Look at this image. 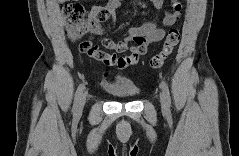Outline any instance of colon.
Listing matches in <instances>:
<instances>
[{"instance_id": "colon-1", "label": "colon", "mask_w": 239, "mask_h": 156, "mask_svg": "<svg viewBox=\"0 0 239 156\" xmlns=\"http://www.w3.org/2000/svg\"><path fill=\"white\" fill-rule=\"evenodd\" d=\"M63 16L66 23V30L68 36L77 41L81 39L87 33H93L92 21L87 18L85 7L79 2H67L63 7ZM105 14L99 13L97 16L98 21H103ZM180 41V31L177 28H173L169 31L161 51L154 55L150 61L149 66L152 69L160 68L173 49ZM80 48L84 52H93V42L91 39L85 40L80 44Z\"/></svg>"}]
</instances>
